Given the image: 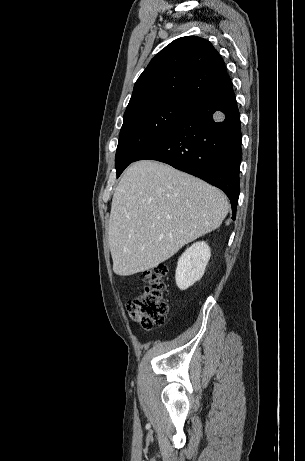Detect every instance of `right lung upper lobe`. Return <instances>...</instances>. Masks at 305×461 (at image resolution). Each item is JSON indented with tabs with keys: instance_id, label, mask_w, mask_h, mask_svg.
<instances>
[{
	"instance_id": "1",
	"label": "right lung upper lobe",
	"mask_w": 305,
	"mask_h": 461,
	"mask_svg": "<svg viewBox=\"0 0 305 461\" xmlns=\"http://www.w3.org/2000/svg\"><path fill=\"white\" fill-rule=\"evenodd\" d=\"M229 81L225 63L209 41L182 37L152 58L134 85L124 115L163 102L190 105Z\"/></svg>"
}]
</instances>
